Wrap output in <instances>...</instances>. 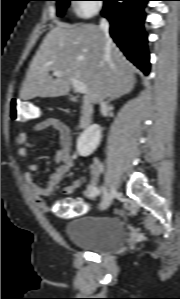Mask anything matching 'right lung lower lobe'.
Here are the masks:
<instances>
[{
  "instance_id": "right-lung-lower-lobe-1",
  "label": "right lung lower lobe",
  "mask_w": 180,
  "mask_h": 299,
  "mask_svg": "<svg viewBox=\"0 0 180 299\" xmlns=\"http://www.w3.org/2000/svg\"><path fill=\"white\" fill-rule=\"evenodd\" d=\"M149 0H104L102 15L110 22V35L126 57L145 75L150 64L144 7Z\"/></svg>"
}]
</instances>
